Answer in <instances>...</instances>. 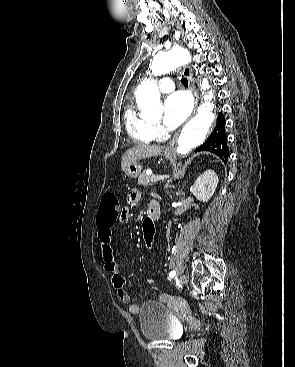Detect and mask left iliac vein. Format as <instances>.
<instances>
[{
    "label": "left iliac vein",
    "instance_id": "left-iliac-vein-1",
    "mask_svg": "<svg viewBox=\"0 0 295 367\" xmlns=\"http://www.w3.org/2000/svg\"><path fill=\"white\" fill-rule=\"evenodd\" d=\"M179 281L182 285L186 284L187 283V277L185 275H181L179 277Z\"/></svg>",
    "mask_w": 295,
    "mask_h": 367
}]
</instances>
